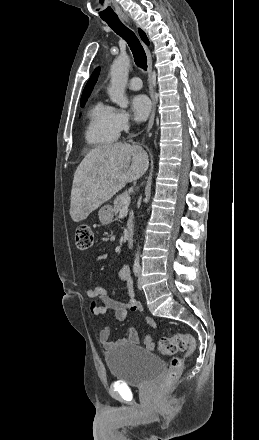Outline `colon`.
<instances>
[{
	"label": "colon",
	"instance_id": "obj_1",
	"mask_svg": "<svg viewBox=\"0 0 259 440\" xmlns=\"http://www.w3.org/2000/svg\"><path fill=\"white\" fill-rule=\"evenodd\" d=\"M94 240L92 229L87 225H80L75 231V242L79 249H89ZM159 351L165 355L170 356L176 352H184V357H174L170 361L169 370L161 388H166L176 382L180 377L184 368L185 359L190 357L196 349L195 339L187 333L177 332L167 337H162L158 341Z\"/></svg>",
	"mask_w": 259,
	"mask_h": 440
}]
</instances>
